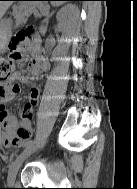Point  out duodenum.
<instances>
[{"label":"duodenum","mask_w":137,"mask_h":189,"mask_svg":"<svg viewBox=\"0 0 137 189\" xmlns=\"http://www.w3.org/2000/svg\"><path fill=\"white\" fill-rule=\"evenodd\" d=\"M33 56L35 57L36 60H40L42 58L38 50H35Z\"/></svg>","instance_id":"duodenum-1"}]
</instances>
